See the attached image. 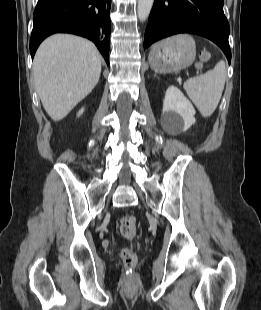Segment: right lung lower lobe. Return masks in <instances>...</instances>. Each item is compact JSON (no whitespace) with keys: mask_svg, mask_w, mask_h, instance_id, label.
<instances>
[{"mask_svg":"<svg viewBox=\"0 0 261 310\" xmlns=\"http://www.w3.org/2000/svg\"><path fill=\"white\" fill-rule=\"evenodd\" d=\"M111 0H38L33 15L30 53L57 32L73 33L93 41L109 64Z\"/></svg>","mask_w":261,"mask_h":310,"instance_id":"1","label":"right lung lower lobe"}]
</instances>
